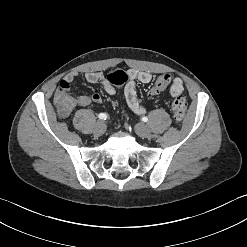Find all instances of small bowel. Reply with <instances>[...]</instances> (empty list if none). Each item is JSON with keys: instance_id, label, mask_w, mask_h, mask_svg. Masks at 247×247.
I'll use <instances>...</instances> for the list:
<instances>
[{"instance_id": "obj_1", "label": "small bowel", "mask_w": 247, "mask_h": 247, "mask_svg": "<svg viewBox=\"0 0 247 247\" xmlns=\"http://www.w3.org/2000/svg\"><path fill=\"white\" fill-rule=\"evenodd\" d=\"M129 81L127 85L124 87V94L127 101L128 106L135 114H143L146 112L145 106L138 100L137 92H136V83L148 84L152 76L149 72L146 71H137L132 69L128 73ZM76 74L70 73L68 74L61 82L59 86H66L70 88V84L75 79ZM85 80L89 83L96 84L99 83L103 87L104 91L109 95H114L116 93V87L112 83L108 81L106 76L101 72H88L85 74ZM171 81V78H170ZM183 83L180 78H174L172 80V84L170 86V95L175 98L176 96L183 93ZM102 101V97L98 93H94L91 96H79L74 98L72 108L62 113V115L66 116L70 113V111L76 107H85L90 105L91 103H100Z\"/></svg>"}]
</instances>
